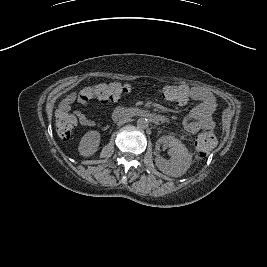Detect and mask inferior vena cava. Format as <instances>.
Segmentation results:
<instances>
[{
	"mask_svg": "<svg viewBox=\"0 0 267 267\" xmlns=\"http://www.w3.org/2000/svg\"><path fill=\"white\" fill-rule=\"evenodd\" d=\"M129 121H130V119H128V118L123 119V120H120V121L118 122V125H123L124 123H127V122H129Z\"/></svg>",
	"mask_w": 267,
	"mask_h": 267,
	"instance_id": "inferior-vena-cava-1",
	"label": "inferior vena cava"
}]
</instances>
